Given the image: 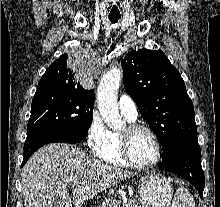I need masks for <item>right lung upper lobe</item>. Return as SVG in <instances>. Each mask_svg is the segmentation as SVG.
<instances>
[{"label":"right lung upper lobe","instance_id":"1","mask_svg":"<svg viewBox=\"0 0 220 207\" xmlns=\"http://www.w3.org/2000/svg\"><path fill=\"white\" fill-rule=\"evenodd\" d=\"M67 58V54H63L48 67L38 83L37 90L72 91L95 97L92 89H85L80 85L73 70L67 65Z\"/></svg>","mask_w":220,"mask_h":207}]
</instances>
